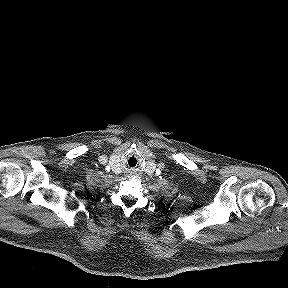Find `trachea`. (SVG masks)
<instances>
[{"instance_id":"3493384b","label":"trachea","mask_w":288,"mask_h":288,"mask_svg":"<svg viewBox=\"0 0 288 288\" xmlns=\"http://www.w3.org/2000/svg\"><path fill=\"white\" fill-rule=\"evenodd\" d=\"M126 164L130 168L137 167L139 165V156L134 152H130L127 155Z\"/></svg>"}]
</instances>
